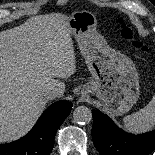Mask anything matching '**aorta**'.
<instances>
[{"mask_svg":"<svg viewBox=\"0 0 155 155\" xmlns=\"http://www.w3.org/2000/svg\"><path fill=\"white\" fill-rule=\"evenodd\" d=\"M73 119L78 124H87L92 120L91 110L85 106H78L73 112Z\"/></svg>","mask_w":155,"mask_h":155,"instance_id":"aorta-1","label":"aorta"}]
</instances>
